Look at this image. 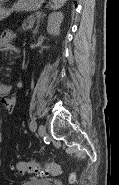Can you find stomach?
<instances>
[{
    "mask_svg": "<svg viewBox=\"0 0 119 185\" xmlns=\"http://www.w3.org/2000/svg\"><path fill=\"white\" fill-rule=\"evenodd\" d=\"M44 0H18L11 9L3 8L0 4V20L8 17L13 11H36Z\"/></svg>",
    "mask_w": 119,
    "mask_h": 185,
    "instance_id": "0dacf381",
    "label": "stomach"
}]
</instances>
